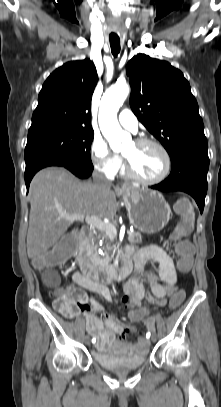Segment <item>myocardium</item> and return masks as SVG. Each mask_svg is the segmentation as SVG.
Masks as SVG:
<instances>
[{"mask_svg": "<svg viewBox=\"0 0 221 407\" xmlns=\"http://www.w3.org/2000/svg\"><path fill=\"white\" fill-rule=\"evenodd\" d=\"M134 143L138 146L151 145V146L157 147L164 155V158L166 161V167H165L163 174L160 177H158L156 179H147V178H144L141 175H139L136 172V170L134 169L131 161L126 156L123 155L126 174L130 178H132L140 183L147 184V185H156V184H159V183L165 181L169 177L171 170H172V157H171L169 151L167 150V148L159 141L151 139V138H138L134 141Z\"/></svg>", "mask_w": 221, "mask_h": 407, "instance_id": "f54148a6", "label": "myocardium"}]
</instances>
